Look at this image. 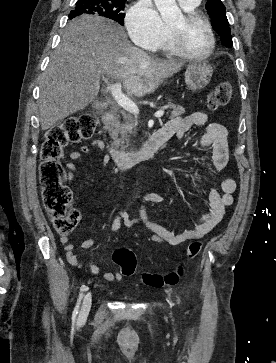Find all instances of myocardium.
Here are the masks:
<instances>
[{
	"label": "myocardium",
	"mask_w": 276,
	"mask_h": 363,
	"mask_svg": "<svg viewBox=\"0 0 276 363\" xmlns=\"http://www.w3.org/2000/svg\"><path fill=\"white\" fill-rule=\"evenodd\" d=\"M183 19L186 24H191L193 22L204 23V25L208 31L209 38H210L209 48L204 53H201V54H196V53L190 52L182 44L179 32L176 29L170 27V42H171L172 49L175 51L176 54H178L184 58H187V59L196 60V61H202V60L207 59L208 57H210L213 54L215 47H216V38H215V34H214V31H213V28H212V25H211L209 19L202 13L195 11V10L186 12L183 15Z\"/></svg>",
	"instance_id": "1"
}]
</instances>
